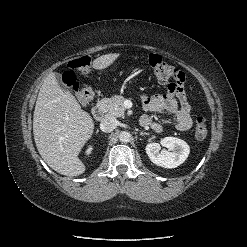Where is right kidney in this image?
<instances>
[{
  "label": "right kidney",
  "mask_w": 247,
  "mask_h": 247,
  "mask_svg": "<svg viewBox=\"0 0 247 247\" xmlns=\"http://www.w3.org/2000/svg\"><path fill=\"white\" fill-rule=\"evenodd\" d=\"M92 149L93 148L91 146L87 149V151H86L87 155L91 153Z\"/></svg>",
  "instance_id": "right-kidney-1"
}]
</instances>
